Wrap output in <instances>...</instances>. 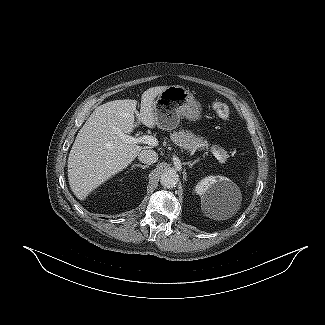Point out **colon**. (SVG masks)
<instances>
[{
  "mask_svg": "<svg viewBox=\"0 0 325 325\" xmlns=\"http://www.w3.org/2000/svg\"><path fill=\"white\" fill-rule=\"evenodd\" d=\"M213 109L222 120L229 119L230 111L226 104H224L222 102H214Z\"/></svg>",
  "mask_w": 325,
  "mask_h": 325,
  "instance_id": "5ec220e1",
  "label": "colon"
}]
</instances>
